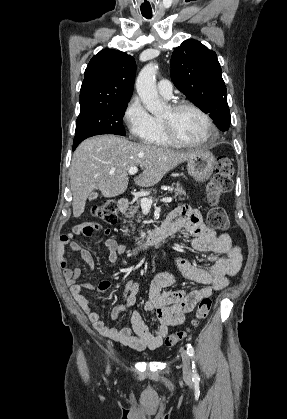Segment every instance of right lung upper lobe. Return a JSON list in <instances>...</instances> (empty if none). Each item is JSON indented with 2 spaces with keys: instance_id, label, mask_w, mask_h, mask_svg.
Instances as JSON below:
<instances>
[{
  "instance_id": "obj_1",
  "label": "right lung upper lobe",
  "mask_w": 287,
  "mask_h": 419,
  "mask_svg": "<svg viewBox=\"0 0 287 419\" xmlns=\"http://www.w3.org/2000/svg\"><path fill=\"white\" fill-rule=\"evenodd\" d=\"M136 63L132 56L103 49L89 62L80 91V111L126 102L132 96Z\"/></svg>"
}]
</instances>
